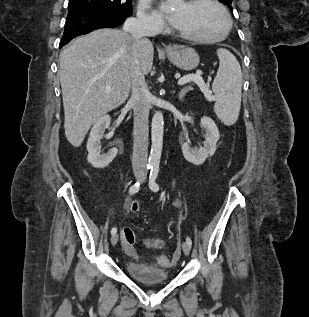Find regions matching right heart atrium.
Here are the masks:
<instances>
[{
	"instance_id": "1",
	"label": "right heart atrium",
	"mask_w": 309,
	"mask_h": 317,
	"mask_svg": "<svg viewBox=\"0 0 309 317\" xmlns=\"http://www.w3.org/2000/svg\"><path fill=\"white\" fill-rule=\"evenodd\" d=\"M137 22L146 31H158L163 28V21L158 14L150 10L148 0H140Z\"/></svg>"
}]
</instances>
